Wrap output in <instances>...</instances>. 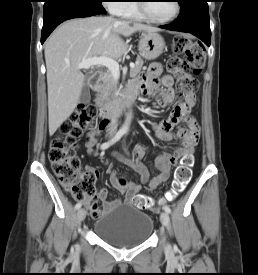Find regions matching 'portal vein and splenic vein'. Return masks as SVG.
I'll list each match as a JSON object with an SVG mask.
<instances>
[{"label": "portal vein and splenic vein", "instance_id": "obj_1", "mask_svg": "<svg viewBox=\"0 0 258 275\" xmlns=\"http://www.w3.org/2000/svg\"><path fill=\"white\" fill-rule=\"evenodd\" d=\"M93 65L107 67L115 78H119L120 76L119 64L114 59L109 57H104V56H100V57L95 56L92 58L85 59L78 64V68L89 69ZM134 67H135V64L130 63V68H134Z\"/></svg>", "mask_w": 258, "mask_h": 275}]
</instances>
